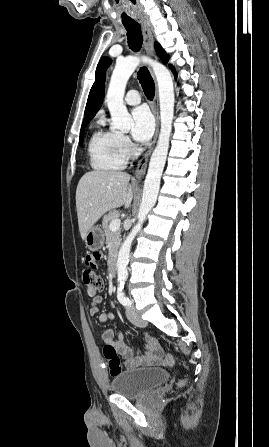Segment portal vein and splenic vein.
<instances>
[{"mask_svg": "<svg viewBox=\"0 0 269 447\" xmlns=\"http://www.w3.org/2000/svg\"><path fill=\"white\" fill-rule=\"evenodd\" d=\"M121 224V220H112V222H110V229L111 231H117V229H119Z\"/></svg>", "mask_w": 269, "mask_h": 447, "instance_id": "1", "label": "portal vein and splenic vein"}]
</instances>
